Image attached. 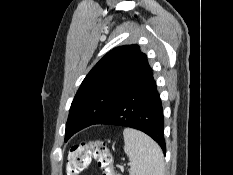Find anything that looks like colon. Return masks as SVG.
I'll return each mask as SVG.
<instances>
[{
	"instance_id": "5ec220e1",
	"label": "colon",
	"mask_w": 233,
	"mask_h": 175,
	"mask_svg": "<svg viewBox=\"0 0 233 175\" xmlns=\"http://www.w3.org/2000/svg\"><path fill=\"white\" fill-rule=\"evenodd\" d=\"M95 158L102 175H121L114 166V156L106 142L96 140L74 145L70 148L66 161V174L79 175Z\"/></svg>"
}]
</instances>
